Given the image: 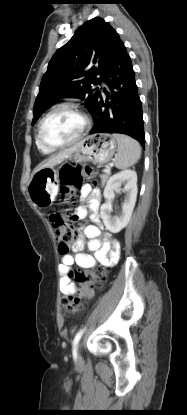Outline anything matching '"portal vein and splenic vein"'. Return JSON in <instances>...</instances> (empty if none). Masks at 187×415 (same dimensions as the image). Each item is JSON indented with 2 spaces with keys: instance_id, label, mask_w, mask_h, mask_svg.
Instances as JSON below:
<instances>
[{
  "instance_id": "portal-vein-and-splenic-vein-1",
  "label": "portal vein and splenic vein",
  "mask_w": 187,
  "mask_h": 415,
  "mask_svg": "<svg viewBox=\"0 0 187 415\" xmlns=\"http://www.w3.org/2000/svg\"><path fill=\"white\" fill-rule=\"evenodd\" d=\"M113 164H109V166L106 167V169L103 170V172L105 173H109L110 172V168L112 167Z\"/></svg>"
}]
</instances>
